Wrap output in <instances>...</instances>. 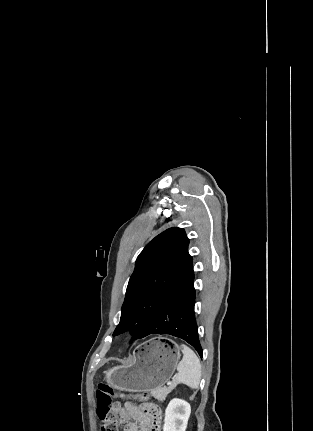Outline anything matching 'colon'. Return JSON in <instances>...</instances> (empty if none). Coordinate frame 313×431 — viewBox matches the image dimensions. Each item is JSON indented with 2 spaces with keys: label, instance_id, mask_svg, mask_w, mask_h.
I'll list each match as a JSON object with an SVG mask.
<instances>
[{
  "label": "colon",
  "instance_id": "5ec220e1",
  "mask_svg": "<svg viewBox=\"0 0 313 431\" xmlns=\"http://www.w3.org/2000/svg\"><path fill=\"white\" fill-rule=\"evenodd\" d=\"M115 397L131 398L143 402L149 399L146 393H138L135 395L126 394L114 389L107 383H100L96 390V404L97 415L102 422L101 431H119L116 414L111 409V402ZM146 406L147 412L154 418V431H158L161 419L160 409L154 403H147Z\"/></svg>",
  "mask_w": 313,
  "mask_h": 431
}]
</instances>
